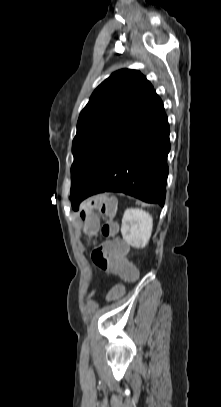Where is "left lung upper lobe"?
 I'll return each mask as SVG.
<instances>
[{"mask_svg":"<svg viewBox=\"0 0 221 407\" xmlns=\"http://www.w3.org/2000/svg\"><path fill=\"white\" fill-rule=\"evenodd\" d=\"M153 92L145 76L130 69L114 72L93 92L80 113L72 144L71 200L95 174Z\"/></svg>","mask_w":221,"mask_h":407,"instance_id":"5c2ea615","label":"left lung upper lobe"}]
</instances>
